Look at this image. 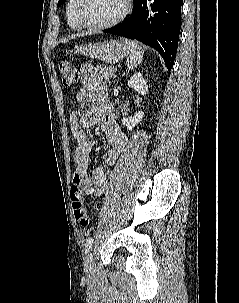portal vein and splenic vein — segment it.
<instances>
[{
	"instance_id": "18ae733b",
	"label": "portal vein and splenic vein",
	"mask_w": 239,
	"mask_h": 303,
	"mask_svg": "<svg viewBox=\"0 0 239 303\" xmlns=\"http://www.w3.org/2000/svg\"><path fill=\"white\" fill-rule=\"evenodd\" d=\"M111 71L115 73L117 71V69L116 68H112Z\"/></svg>"
}]
</instances>
